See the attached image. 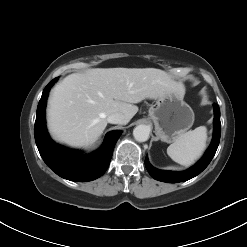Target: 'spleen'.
<instances>
[{
  "instance_id": "obj_1",
  "label": "spleen",
  "mask_w": 247,
  "mask_h": 247,
  "mask_svg": "<svg viewBox=\"0 0 247 247\" xmlns=\"http://www.w3.org/2000/svg\"><path fill=\"white\" fill-rule=\"evenodd\" d=\"M206 140V127H197L179 135L167 148V154L173 161L181 165H191L203 153L206 147Z\"/></svg>"
}]
</instances>
